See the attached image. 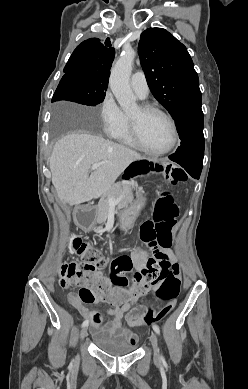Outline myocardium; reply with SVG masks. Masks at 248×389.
I'll list each match as a JSON object with an SVG mask.
<instances>
[{
  "label": "myocardium",
  "mask_w": 248,
  "mask_h": 389,
  "mask_svg": "<svg viewBox=\"0 0 248 389\" xmlns=\"http://www.w3.org/2000/svg\"><path fill=\"white\" fill-rule=\"evenodd\" d=\"M139 108H140V111L142 113L156 112V113H159L160 115H162L169 122V124L171 126L172 140H171V143L164 149H161V150L150 149L149 147H147L145 145V143L143 142V140L140 136L137 119L129 115L130 134H131L133 140L135 141V143L137 144V146L145 153H147L149 155H153V156L165 155V154L169 153L170 151H172L178 142V129H177V125L175 123V120L172 118V116L170 114H168L161 107H159L155 104H152V103H142L139 105Z\"/></svg>",
  "instance_id": "obj_1"
}]
</instances>
